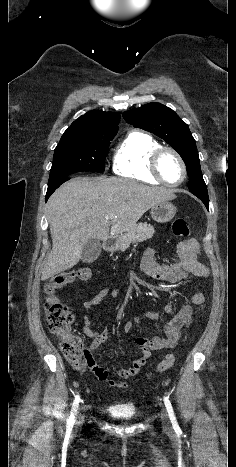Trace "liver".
<instances>
[{
    "label": "liver",
    "instance_id": "1",
    "mask_svg": "<svg viewBox=\"0 0 236 467\" xmlns=\"http://www.w3.org/2000/svg\"><path fill=\"white\" fill-rule=\"evenodd\" d=\"M176 198L174 191L122 178L76 177L47 203L52 250L41 280L74 267L85 243L129 231L152 206Z\"/></svg>",
    "mask_w": 236,
    "mask_h": 467
}]
</instances>
